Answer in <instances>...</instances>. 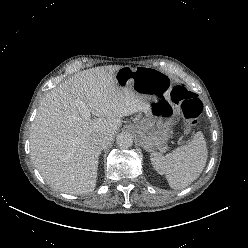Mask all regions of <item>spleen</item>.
Wrapping results in <instances>:
<instances>
[{
  "label": "spleen",
  "mask_w": 248,
  "mask_h": 248,
  "mask_svg": "<svg viewBox=\"0 0 248 248\" xmlns=\"http://www.w3.org/2000/svg\"><path fill=\"white\" fill-rule=\"evenodd\" d=\"M208 157L206 142L202 132H197L187 145L180 146L171 153L162 155L151 153L150 160L154 169L165 175L173 189L185 188L202 173Z\"/></svg>",
  "instance_id": "1"
}]
</instances>
